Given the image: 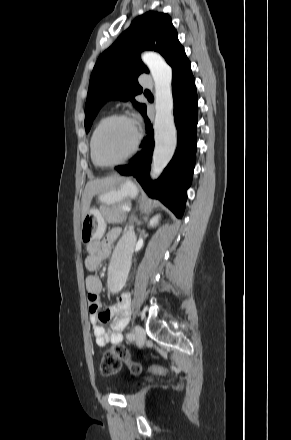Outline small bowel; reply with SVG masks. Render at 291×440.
Returning <instances> with one entry per match:
<instances>
[{
    "instance_id": "1",
    "label": "small bowel",
    "mask_w": 291,
    "mask_h": 440,
    "mask_svg": "<svg viewBox=\"0 0 291 440\" xmlns=\"http://www.w3.org/2000/svg\"><path fill=\"white\" fill-rule=\"evenodd\" d=\"M120 233L121 230L119 228H114L104 238L98 239L89 245V255L85 260L88 270L94 272L98 269L101 261L110 255ZM85 286L88 292V307L96 344L100 347H105L109 344L118 343L121 340L119 327L130 317V294L127 292L120 294L117 303L111 309L101 311L99 294L102 291V282L100 278L96 274H89L85 278ZM105 316L114 317L115 320V324L109 328V331H105L101 324V320Z\"/></svg>"
}]
</instances>
